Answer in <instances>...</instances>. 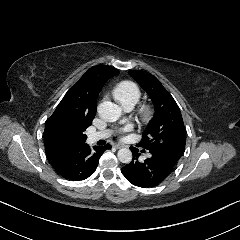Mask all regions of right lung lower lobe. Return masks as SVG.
<instances>
[{
	"mask_svg": "<svg viewBox=\"0 0 240 240\" xmlns=\"http://www.w3.org/2000/svg\"><path fill=\"white\" fill-rule=\"evenodd\" d=\"M111 145L104 147L95 146L93 149L88 144L78 150H65L47 155L52 167L61 177L80 181L91 176L97 168L99 158L103 152L110 149Z\"/></svg>",
	"mask_w": 240,
	"mask_h": 240,
	"instance_id": "right-lung-lower-lobe-1",
	"label": "right lung lower lobe"
}]
</instances>
